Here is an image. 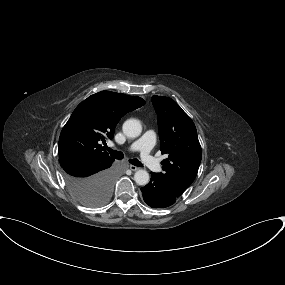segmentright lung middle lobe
I'll return each instance as SVG.
<instances>
[{"label":"right lung middle lobe","mask_w":285,"mask_h":285,"mask_svg":"<svg viewBox=\"0 0 285 285\" xmlns=\"http://www.w3.org/2000/svg\"><path fill=\"white\" fill-rule=\"evenodd\" d=\"M68 188L81 204L97 207L109 199L112 184L110 186L101 183L68 184Z\"/></svg>","instance_id":"dd1d6c3e"}]
</instances>
